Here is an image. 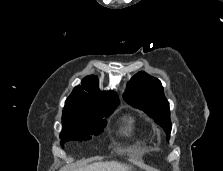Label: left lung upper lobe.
<instances>
[{"instance_id":"1","label":"left lung upper lobe","mask_w":223,"mask_h":171,"mask_svg":"<svg viewBox=\"0 0 223 171\" xmlns=\"http://www.w3.org/2000/svg\"><path fill=\"white\" fill-rule=\"evenodd\" d=\"M123 97L128 103L154 119L164 129L169 139L171 132L169 103L158 79L143 71L138 72L128 82Z\"/></svg>"}]
</instances>
